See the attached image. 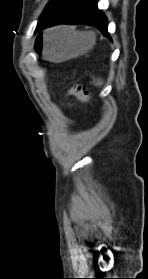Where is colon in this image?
Masks as SVG:
<instances>
[{"label":"colon","mask_w":148,"mask_h":279,"mask_svg":"<svg viewBox=\"0 0 148 279\" xmlns=\"http://www.w3.org/2000/svg\"><path fill=\"white\" fill-rule=\"evenodd\" d=\"M68 93L75 96L77 99L92 104V95L91 93L81 84H73L69 89Z\"/></svg>","instance_id":"obj_1"}]
</instances>
